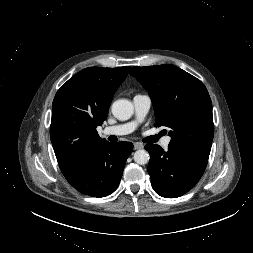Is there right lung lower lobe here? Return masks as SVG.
I'll return each mask as SVG.
<instances>
[{
	"instance_id": "right-lung-lower-lobe-1",
	"label": "right lung lower lobe",
	"mask_w": 253,
	"mask_h": 253,
	"mask_svg": "<svg viewBox=\"0 0 253 253\" xmlns=\"http://www.w3.org/2000/svg\"><path fill=\"white\" fill-rule=\"evenodd\" d=\"M133 150L130 142L96 145L83 161L65 176L80 193L92 197H105L118 187L128 156Z\"/></svg>"
}]
</instances>
